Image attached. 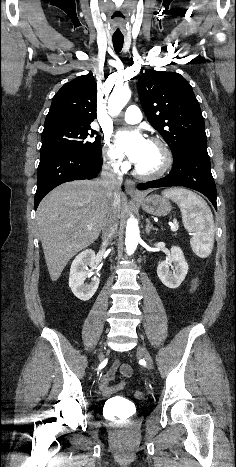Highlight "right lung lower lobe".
<instances>
[{"label": "right lung lower lobe", "instance_id": "obj_1", "mask_svg": "<svg viewBox=\"0 0 236 467\" xmlns=\"http://www.w3.org/2000/svg\"><path fill=\"white\" fill-rule=\"evenodd\" d=\"M102 164L101 157L73 150H55L40 155L35 209L44 196L56 186L68 181L95 178Z\"/></svg>", "mask_w": 236, "mask_h": 467}]
</instances>
